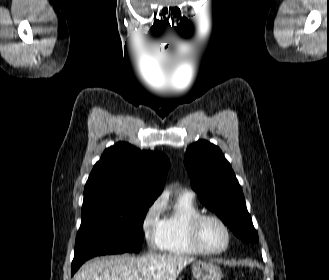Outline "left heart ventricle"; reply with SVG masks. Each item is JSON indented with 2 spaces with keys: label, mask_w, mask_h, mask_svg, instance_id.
I'll return each mask as SVG.
<instances>
[{
  "label": "left heart ventricle",
  "mask_w": 329,
  "mask_h": 280,
  "mask_svg": "<svg viewBox=\"0 0 329 280\" xmlns=\"http://www.w3.org/2000/svg\"><path fill=\"white\" fill-rule=\"evenodd\" d=\"M202 244L210 250H217L226 244V233L222 226L213 220H206L200 230Z\"/></svg>",
  "instance_id": "obj_1"
}]
</instances>
